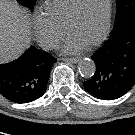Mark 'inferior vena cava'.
I'll return each instance as SVG.
<instances>
[{"label":"inferior vena cava","instance_id":"inferior-vena-cava-1","mask_svg":"<svg viewBox=\"0 0 135 135\" xmlns=\"http://www.w3.org/2000/svg\"><path fill=\"white\" fill-rule=\"evenodd\" d=\"M40 46L44 50L56 49L59 48V41L52 36H48L40 42Z\"/></svg>","mask_w":135,"mask_h":135}]
</instances>
